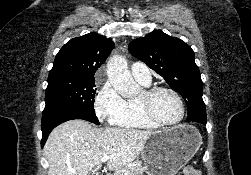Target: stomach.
I'll return each instance as SVG.
<instances>
[{
	"label": "stomach",
	"mask_w": 251,
	"mask_h": 175,
	"mask_svg": "<svg viewBox=\"0 0 251 175\" xmlns=\"http://www.w3.org/2000/svg\"><path fill=\"white\" fill-rule=\"evenodd\" d=\"M201 143L199 129L190 123L151 133L140 151L147 175H175L197 153Z\"/></svg>",
	"instance_id": "0dacf381"
}]
</instances>
